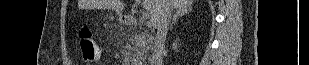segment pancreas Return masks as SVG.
<instances>
[{
  "label": "pancreas",
  "instance_id": "pancreas-1",
  "mask_svg": "<svg viewBox=\"0 0 309 65\" xmlns=\"http://www.w3.org/2000/svg\"><path fill=\"white\" fill-rule=\"evenodd\" d=\"M131 48L129 49L130 58L134 61L140 59L151 47L150 36L145 32H134L130 37Z\"/></svg>",
  "mask_w": 309,
  "mask_h": 65
}]
</instances>
